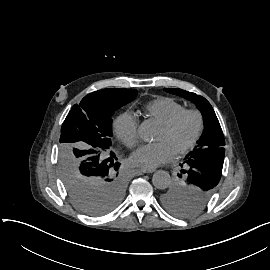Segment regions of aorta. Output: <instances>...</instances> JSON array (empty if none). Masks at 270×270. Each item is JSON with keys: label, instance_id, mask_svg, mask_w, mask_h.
I'll use <instances>...</instances> for the list:
<instances>
[{"label": "aorta", "instance_id": "762f6f07", "mask_svg": "<svg viewBox=\"0 0 270 270\" xmlns=\"http://www.w3.org/2000/svg\"><path fill=\"white\" fill-rule=\"evenodd\" d=\"M152 183L158 189H165L170 185L171 177L168 172L158 170L153 174Z\"/></svg>", "mask_w": 270, "mask_h": 270}]
</instances>
